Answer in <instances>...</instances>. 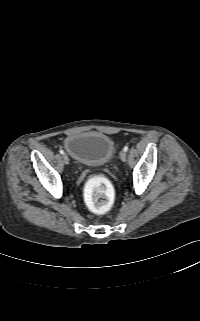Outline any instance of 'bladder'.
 I'll list each match as a JSON object with an SVG mask.
<instances>
[{
	"label": "bladder",
	"instance_id": "bladder-1",
	"mask_svg": "<svg viewBox=\"0 0 200 321\" xmlns=\"http://www.w3.org/2000/svg\"><path fill=\"white\" fill-rule=\"evenodd\" d=\"M66 152L78 163L88 166L106 164L114 154V142L98 131L70 134L64 141Z\"/></svg>",
	"mask_w": 200,
	"mask_h": 321
}]
</instances>
